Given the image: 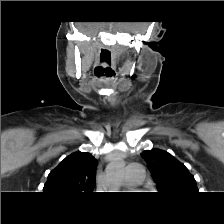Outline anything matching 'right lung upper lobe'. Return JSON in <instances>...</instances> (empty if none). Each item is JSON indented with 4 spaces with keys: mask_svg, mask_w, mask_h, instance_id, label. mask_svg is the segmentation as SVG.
Here are the masks:
<instances>
[{
    "mask_svg": "<svg viewBox=\"0 0 224 224\" xmlns=\"http://www.w3.org/2000/svg\"><path fill=\"white\" fill-rule=\"evenodd\" d=\"M97 160L88 152L67 156L49 175L43 191L60 194L92 193Z\"/></svg>",
    "mask_w": 224,
    "mask_h": 224,
    "instance_id": "obj_1",
    "label": "right lung upper lobe"
}]
</instances>
